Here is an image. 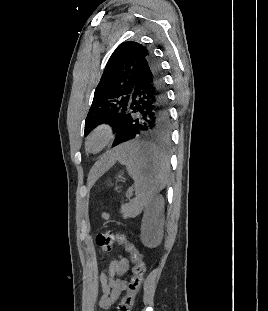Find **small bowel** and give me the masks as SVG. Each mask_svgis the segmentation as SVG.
<instances>
[{
	"label": "small bowel",
	"instance_id": "obj_1",
	"mask_svg": "<svg viewBox=\"0 0 268 311\" xmlns=\"http://www.w3.org/2000/svg\"><path fill=\"white\" fill-rule=\"evenodd\" d=\"M129 270V260L120 255L117 259L110 262L107 271L100 273L99 279L102 286V295L98 304L101 309L108 310L127 288L128 280L125 275Z\"/></svg>",
	"mask_w": 268,
	"mask_h": 311
}]
</instances>
